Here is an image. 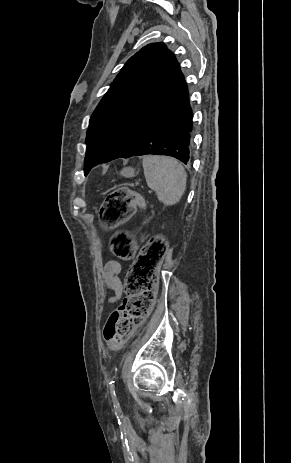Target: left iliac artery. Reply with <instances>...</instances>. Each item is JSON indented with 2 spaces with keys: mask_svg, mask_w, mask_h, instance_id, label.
Returning <instances> with one entry per match:
<instances>
[{
  "mask_svg": "<svg viewBox=\"0 0 291 463\" xmlns=\"http://www.w3.org/2000/svg\"><path fill=\"white\" fill-rule=\"evenodd\" d=\"M114 382L115 381H111L110 384V392H111V396H112V399L114 401L115 404H118V401H117V398H116V393H115V385H114Z\"/></svg>",
  "mask_w": 291,
  "mask_h": 463,
  "instance_id": "left-iliac-artery-1",
  "label": "left iliac artery"
}]
</instances>
